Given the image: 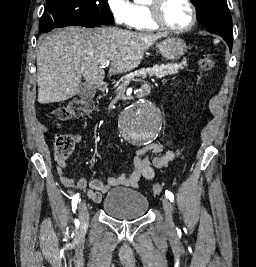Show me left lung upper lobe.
Listing matches in <instances>:
<instances>
[{"label": "left lung upper lobe", "instance_id": "1", "mask_svg": "<svg viewBox=\"0 0 256 267\" xmlns=\"http://www.w3.org/2000/svg\"><path fill=\"white\" fill-rule=\"evenodd\" d=\"M197 9L199 21L211 33L220 35L228 44H233L232 18L227 0H191Z\"/></svg>", "mask_w": 256, "mask_h": 267}]
</instances>
